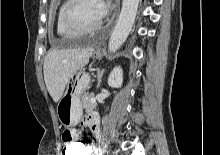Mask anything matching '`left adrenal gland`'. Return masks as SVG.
<instances>
[{
	"mask_svg": "<svg viewBox=\"0 0 220 155\" xmlns=\"http://www.w3.org/2000/svg\"><path fill=\"white\" fill-rule=\"evenodd\" d=\"M103 74H104V69L103 70H99V69L97 70V79H98L97 88L101 85Z\"/></svg>",
	"mask_w": 220,
	"mask_h": 155,
	"instance_id": "a2214340",
	"label": "left adrenal gland"
}]
</instances>
